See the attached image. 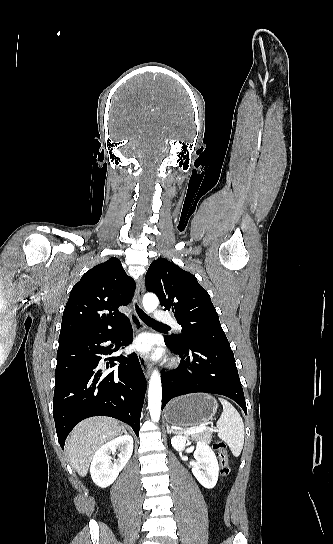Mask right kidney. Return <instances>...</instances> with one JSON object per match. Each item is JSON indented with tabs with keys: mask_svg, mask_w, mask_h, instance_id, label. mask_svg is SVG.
I'll list each match as a JSON object with an SVG mask.
<instances>
[{
	"mask_svg": "<svg viewBox=\"0 0 333 544\" xmlns=\"http://www.w3.org/2000/svg\"><path fill=\"white\" fill-rule=\"evenodd\" d=\"M133 438L125 433L101 446L95 453L90 466L93 482L101 487L110 486L118 477L120 471L128 463L133 453ZM119 450V458L111 462V453Z\"/></svg>",
	"mask_w": 333,
	"mask_h": 544,
	"instance_id": "obj_1",
	"label": "right kidney"
}]
</instances>
